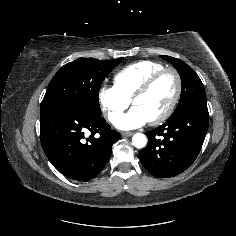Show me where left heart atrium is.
<instances>
[{
    "label": "left heart atrium",
    "instance_id": "left-heart-atrium-1",
    "mask_svg": "<svg viewBox=\"0 0 236 236\" xmlns=\"http://www.w3.org/2000/svg\"><path fill=\"white\" fill-rule=\"evenodd\" d=\"M148 122L149 120L143 112L134 106L127 113L118 115L113 119V124L121 130L135 129Z\"/></svg>",
    "mask_w": 236,
    "mask_h": 236
}]
</instances>
